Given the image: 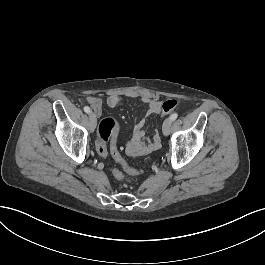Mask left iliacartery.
Segmentation results:
<instances>
[{
    "mask_svg": "<svg viewBox=\"0 0 265 265\" xmlns=\"http://www.w3.org/2000/svg\"><path fill=\"white\" fill-rule=\"evenodd\" d=\"M177 117H178V114H177V113H173V114L170 116V119H171L172 121H174V120L177 119Z\"/></svg>",
    "mask_w": 265,
    "mask_h": 265,
    "instance_id": "left-iliac-artery-1",
    "label": "left iliac artery"
}]
</instances>
